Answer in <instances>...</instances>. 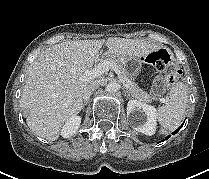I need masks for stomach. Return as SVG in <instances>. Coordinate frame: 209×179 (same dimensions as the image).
<instances>
[{
	"label": "stomach",
	"mask_w": 209,
	"mask_h": 179,
	"mask_svg": "<svg viewBox=\"0 0 209 179\" xmlns=\"http://www.w3.org/2000/svg\"><path fill=\"white\" fill-rule=\"evenodd\" d=\"M125 75L129 79L136 78L142 69V58L141 57H126L121 61Z\"/></svg>",
	"instance_id": "obj_1"
}]
</instances>
